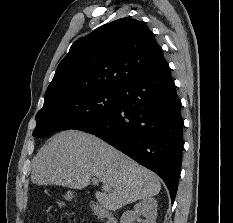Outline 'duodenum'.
Masks as SVG:
<instances>
[{"instance_id": "410a0bca", "label": "duodenum", "mask_w": 233, "mask_h": 223, "mask_svg": "<svg viewBox=\"0 0 233 223\" xmlns=\"http://www.w3.org/2000/svg\"><path fill=\"white\" fill-rule=\"evenodd\" d=\"M90 207L94 214L105 223H117L115 216L97 202H91Z\"/></svg>"}]
</instances>
